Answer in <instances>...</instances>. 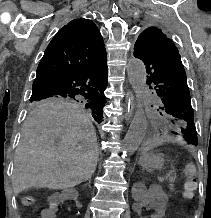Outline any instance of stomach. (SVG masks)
<instances>
[{
    "mask_svg": "<svg viewBox=\"0 0 211 218\" xmlns=\"http://www.w3.org/2000/svg\"><path fill=\"white\" fill-rule=\"evenodd\" d=\"M141 164L145 168L160 169L163 166V158L159 155L146 154L143 156Z\"/></svg>",
    "mask_w": 211,
    "mask_h": 218,
    "instance_id": "stomach-1",
    "label": "stomach"
}]
</instances>
